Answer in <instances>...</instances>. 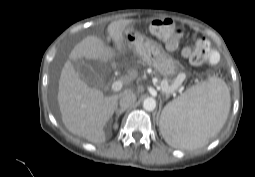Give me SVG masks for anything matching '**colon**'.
<instances>
[{
    "label": "colon",
    "instance_id": "5ec220e1",
    "mask_svg": "<svg viewBox=\"0 0 255 177\" xmlns=\"http://www.w3.org/2000/svg\"><path fill=\"white\" fill-rule=\"evenodd\" d=\"M151 30L157 38L165 42L168 49L173 50L178 46L181 30L175 26L172 20H154L151 24ZM183 55L188 57L194 65L213 62L216 59V53L206 39H199L192 43L183 50Z\"/></svg>",
    "mask_w": 255,
    "mask_h": 177
}]
</instances>
